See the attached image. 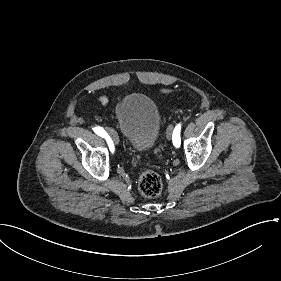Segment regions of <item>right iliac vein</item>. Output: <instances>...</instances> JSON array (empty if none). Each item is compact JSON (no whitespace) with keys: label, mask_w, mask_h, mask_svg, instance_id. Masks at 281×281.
Wrapping results in <instances>:
<instances>
[{"label":"right iliac vein","mask_w":281,"mask_h":281,"mask_svg":"<svg viewBox=\"0 0 281 281\" xmlns=\"http://www.w3.org/2000/svg\"><path fill=\"white\" fill-rule=\"evenodd\" d=\"M106 130H107L108 134H109L110 137H111L110 139H112V141H113L115 144H118V143H119V138H118L117 133H116L113 129H111V128H107Z\"/></svg>","instance_id":"1"}]
</instances>
